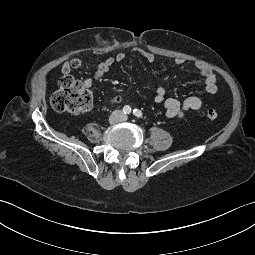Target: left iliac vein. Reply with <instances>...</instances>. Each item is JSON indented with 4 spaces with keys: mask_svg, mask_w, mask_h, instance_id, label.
I'll return each instance as SVG.
<instances>
[{
    "mask_svg": "<svg viewBox=\"0 0 255 255\" xmlns=\"http://www.w3.org/2000/svg\"><path fill=\"white\" fill-rule=\"evenodd\" d=\"M127 118H128V117H127V116H125L123 120H127Z\"/></svg>",
    "mask_w": 255,
    "mask_h": 255,
    "instance_id": "4c4485c4",
    "label": "left iliac vein"
}]
</instances>
